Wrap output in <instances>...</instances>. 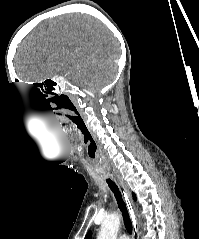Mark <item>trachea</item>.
<instances>
[{
  "label": "trachea",
  "instance_id": "3493384b",
  "mask_svg": "<svg viewBox=\"0 0 199 239\" xmlns=\"http://www.w3.org/2000/svg\"><path fill=\"white\" fill-rule=\"evenodd\" d=\"M106 182H107L109 188L111 189V191L113 192V194L116 198L117 204H118L120 210L122 211L126 230L128 231L129 234H132V223L129 218L126 204L124 203V201L122 199L121 193H120L118 187L116 186V184L114 182H112L110 179H106Z\"/></svg>",
  "mask_w": 199,
  "mask_h": 239
}]
</instances>
